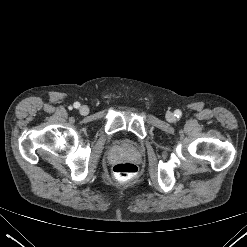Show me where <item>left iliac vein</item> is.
Wrapping results in <instances>:
<instances>
[{
  "label": "left iliac vein",
  "mask_w": 247,
  "mask_h": 247,
  "mask_svg": "<svg viewBox=\"0 0 247 247\" xmlns=\"http://www.w3.org/2000/svg\"><path fill=\"white\" fill-rule=\"evenodd\" d=\"M166 119L169 121V122H173L175 120V117H174V114L169 112L166 114Z\"/></svg>",
  "instance_id": "1"
}]
</instances>
